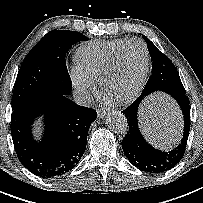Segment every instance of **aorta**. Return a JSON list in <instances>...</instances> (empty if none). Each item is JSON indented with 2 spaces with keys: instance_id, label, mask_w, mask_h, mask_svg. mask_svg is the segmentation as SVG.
Wrapping results in <instances>:
<instances>
[{
  "instance_id": "1",
  "label": "aorta",
  "mask_w": 203,
  "mask_h": 203,
  "mask_svg": "<svg viewBox=\"0 0 203 203\" xmlns=\"http://www.w3.org/2000/svg\"><path fill=\"white\" fill-rule=\"evenodd\" d=\"M106 122L109 129L118 134H124L128 129L127 118L120 111L111 112Z\"/></svg>"
}]
</instances>
